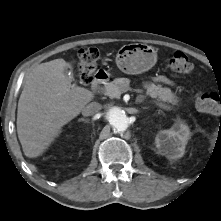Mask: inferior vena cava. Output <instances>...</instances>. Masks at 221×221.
Listing matches in <instances>:
<instances>
[{
  "label": "inferior vena cava",
  "instance_id": "inferior-vena-cava-1",
  "mask_svg": "<svg viewBox=\"0 0 221 221\" xmlns=\"http://www.w3.org/2000/svg\"><path fill=\"white\" fill-rule=\"evenodd\" d=\"M101 109V105L97 102H91L82 109L83 116H92Z\"/></svg>",
  "mask_w": 221,
  "mask_h": 221
}]
</instances>
